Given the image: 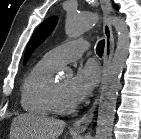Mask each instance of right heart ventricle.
<instances>
[{
  "mask_svg": "<svg viewBox=\"0 0 141 139\" xmlns=\"http://www.w3.org/2000/svg\"><path fill=\"white\" fill-rule=\"evenodd\" d=\"M58 67L43 57L25 76L21 86V106L26 112L36 116H48L55 112L51 85L53 73Z\"/></svg>",
  "mask_w": 141,
  "mask_h": 139,
  "instance_id": "right-heart-ventricle-1",
  "label": "right heart ventricle"
}]
</instances>
